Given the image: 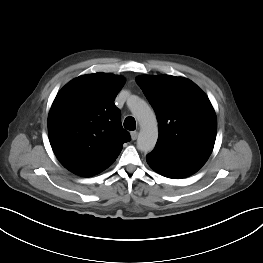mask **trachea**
Returning a JSON list of instances; mask_svg holds the SVG:
<instances>
[{
    "instance_id": "3493384b",
    "label": "trachea",
    "mask_w": 263,
    "mask_h": 263,
    "mask_svg": "<svg viewBox=\"0 0 263 263\" xmlns=\"http://www.w3.org/2000/svg\"><path fill=\"white\" fill-rule=\"evenodd\" d=\"M124 127L127 130L133 131L136 129V121L133 117L129 116L124 121Z\"/></svg>"
}]
</instances>
